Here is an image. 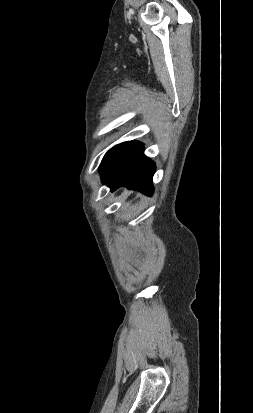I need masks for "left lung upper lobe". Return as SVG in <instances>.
I'll list each match as a JSON object with an SVG mask.
<instances>
[{"instance_id": "1", "label": "left lung upper lobe", "mask_w": 253, "mask_h": 413, "mask_svg": "<svg viewBox=\"0 0 253 413\" xmlns=\"http://www.w3.org/2000/svg\"><path fill=\"white\" fill-rule=\"evenodd\" d=\"M121 146V144L116 145L115 147H113L112 149H110L104 156L101 164H100V168H102V166L109 160V158L117 151V149Z\"/></svg>"}]
</instances>
